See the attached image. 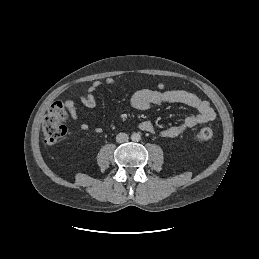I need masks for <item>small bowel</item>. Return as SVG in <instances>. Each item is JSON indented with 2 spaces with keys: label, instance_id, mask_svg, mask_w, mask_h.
<instances>
[{
  "label": "small bowel",
  "instance_id": "c3829d8e",
  "mask_svg": "<svg viewBox=\"0 0 259 259\" xmlns=\"http://www.w3.org/2000/svg\"><path fill=\"white\" fill-rule=\"evenodd\" d=\"M105 84L113 85L114 79L111 77L106 78ZM100 86V81H94L87 89L86 94L80 96V101L85 107L94 108L96 106L95 93ZM158 88L159 90L142 89L135 92L131 99L132 106L137 110L144 111L154 105L180 103L194 108L197 111L195 114L188 115L182 122L158 131L161 136L175 138L183 134L187 129L210 122L215 118V112L209 102L201 99L194 93L185 90L167 89L163 83H160ZM66 107L72 118L78 120V114L74 103L72 101H67ZM81 128L85 131L91 129L90 125L87 123H82ZM138 128L149 133L157 132L155 126L150 121L140 122ZM94 131L101 132V128L96 127L94 128Z\"/></svg>",
  "mask_w": 259,
  "mask_h": 259
}]
</instances>
